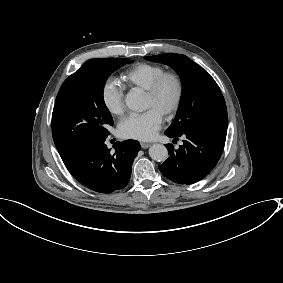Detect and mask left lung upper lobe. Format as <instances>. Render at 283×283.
Listing matches in <instances>:
<instances>
[{"instance_id":"1","label":"left lung upper lobe","mask_w":283,"mask_h":283,"mask_svg":"<svg viewBox=\"0 0 283 283\" xmlns=\"http://www.w3.org/2000/svg\"><path fill=\"white\" fill-rule=\"evenodd\" d=\"M172 67L182 81V97L176 117L165 133L191 130H227V108L215 80L185 55L161 54L145 57Z\"/></svg>"}]
</instances>
